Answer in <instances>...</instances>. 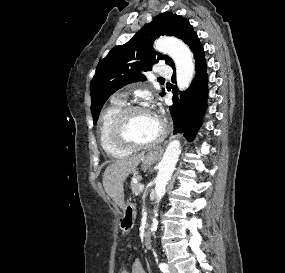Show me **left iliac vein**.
<instances>
[{
  "mask_svg": "<svg viewBox=\"0 0 285 273\" xmlns=\"http://www.w3.org/2000/svg\"><path fill=\"white\" fill-rule=\"evenodd\" d=\"M169 273H177V269L173 265H170Z\"/></svg>",
  "mask_w": 285,
  "mask_h": 273,
  "instance_id": "1",
  "label": "left iliac vein"
}]
</instances>
